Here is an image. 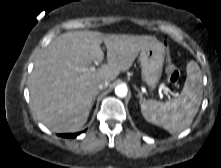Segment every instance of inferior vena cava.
Listing matches in <instances>:
<instances>
[{
    "instance_id": "1",
    "label": "inferior vena cava",
    "mask_w": 221,
    "mask_h": 168,
    "mask_svg": "<svg viewBox=\"0 0 221 168\" xmlns=\"http://www.w3.org/2000/svg\"><path fill=\"white\" fill-rule=\"evenodd\" d=\"M109 85V82L107 80L101 82L98 84V89L102 90L103 88H106Z\"/></svg>"
}]
</instances>
